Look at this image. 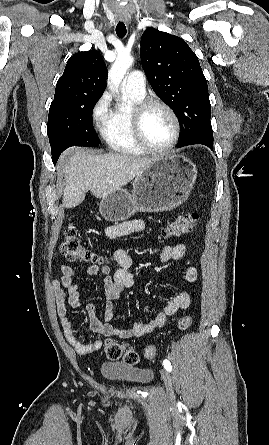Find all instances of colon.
<instances>
[{"instance_id": "colon-1", "label": "colon", "mask_w": 269, "mask_h": 445, "mask_svg": "<svg viewBox=\"0 0 269 445\" xmlns=\"http://www.w3.org/2000/svg\"><path fill=\"white\" fill-rule=\"evenodd\" d=\"M198 220L199 215L197 213L180 215L162 228L161 236L164 239H174L189 233L196 227ZM60 251L69 262L103 263L102 257L83 245L77 230L72 225H69L64 231ZM191 325L192 317L189 314L181 316L178 320V328L182 331L189 329ZM104 351L108 359L118 360L123 358L124 362L130 366L136 365L139 361V355L135 350L127 348L111 338L105 340ZM144 355L147 359H153L157 355V349L154 346H148Z\"/></svg>"}]
</instances>
